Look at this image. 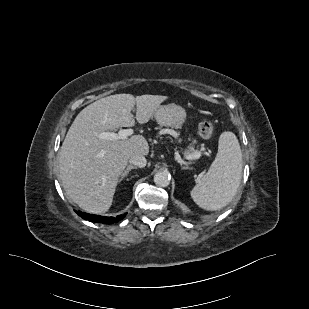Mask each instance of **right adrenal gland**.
<instances>
[{"mask_svg": "<svg viewBox=\"0 0 309 309\" xmlns=\"http://www.w3.org/2000/svg\"><path fill=\"white\" fill-rule=\"evenodd\" d=\"M136 166L128 165L126 169L122 172L119 182H121L132 169H136Z\"/></svg>", "mask_w": 309, "mask_h": 309, "instance_id": "1", "label": "right adrenal gland"}]
</instances>
